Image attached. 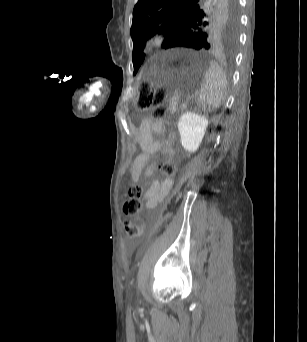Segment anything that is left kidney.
Returning <instances> with one entry per match:
<instances>
[{"label":"left kidney","instance_id":"obj_1","mask_svg":"<svg viewBox=\"0 0 307 342\" xmlns=\"http://www.w3.org/2000/svg\"><path fill=\"white\" fill-rule=\"evenodd\" d=\"M208 120L206 116H199L193 112H184L179 118L178 132L180 134L181 146L186 152L198 150L204 134L207 130Z\"/></svg>","mask_w":307,"mask_h":342}]
</instances>
